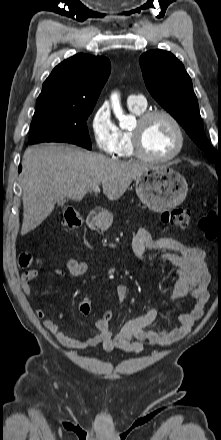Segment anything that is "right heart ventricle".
Returning a JSON list of instances; mask_svg holds the SVG:
<instances>
[{
    "mask_svg": "<svg viewBox=\"0 0 221 440\" xmlns=\"http://www.w3.org/2000/svg\"><path fill=\"white\" fill-rule=\"evenodd\" d=\"M128 105L130 111L136 115H140L141 113H143L146 108V105L145 106L131 105V104ZM120 134H121V143L116 153L117 157L127 158L133 156L134 152L132 147L130 131L120 130Z\"/></svg>",
    "mask_w": 221,
    "mask_h": 440,
    "instance_id": "1",
    "label": "right heart ventricle"
}]
</instances>
